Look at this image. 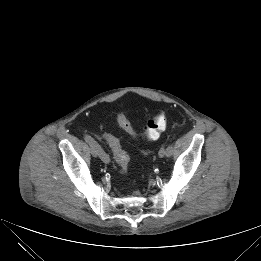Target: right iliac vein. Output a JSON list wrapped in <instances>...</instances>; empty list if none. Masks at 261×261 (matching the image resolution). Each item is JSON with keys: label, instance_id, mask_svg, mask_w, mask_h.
I'll list each match as a JSON object with an SVG mask.
<instances>
[{"label": "right iliac vein", "instance_id": "1", "mask_svg": "<svg viewBox=\"0 0 261 261\" xmlns=\"http://www.w3.org/2000/svg\"><path fill=\"white\" fill-rule=\"evenodd\" d=\"M89 152L93 158H97L99 156L96 149L92 146H89Z\"/></svg>", "mask_w": 261, "mask_h": 261}]
</instances>
